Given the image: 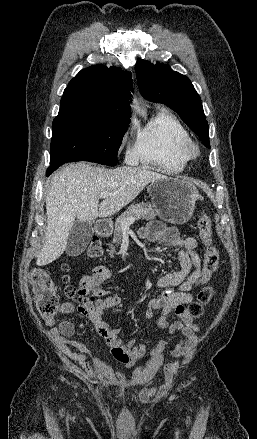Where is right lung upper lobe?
I'll return each instance as SVG.
<instances>
[{"label": "right lung upper lobe", "instance_id": "right-lung-upper-lobe-1", "mask_svg": "<svg viewBox=\"0 0 257 439\" xmlns=\"http://www.w3.org/2000/svg\"><path fill=\"white\" fill-rule=\"evenodd\" d=\"M131 73L95 65L81 70L62 96L58 116L88 112L104 116L130 114Z\"/></svg>", "mask_w": 257, "mask_h": 439}]
</instances>
